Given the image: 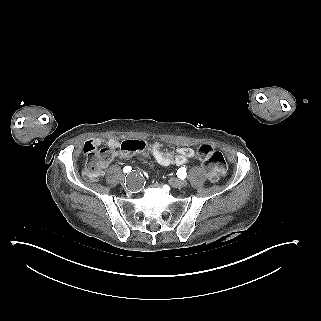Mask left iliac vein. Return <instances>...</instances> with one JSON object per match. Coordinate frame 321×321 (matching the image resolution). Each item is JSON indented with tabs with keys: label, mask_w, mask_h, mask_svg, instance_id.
<instances>
[{
	"label": "left iliac vein",
	"mask_w": 321,
	"mask_h": 321,
	"mask_svg": "<svg viewBox=\"0 0 321 321\" xmlns=\"http://www.w3.org/2000/svg\"><path fill=\"white\" fill-rule=\"evenodd\" d=\"M169 183L175 187V188H183V187H186L188 182L187 180H184V179H176V178H171L169 180Z\"/></svg>",
	"instance_id": "1"
}]
</instances>
